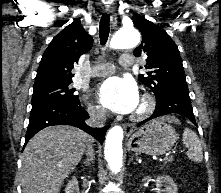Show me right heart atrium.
I'll list each match as a JSON object with an SVG mask.
<instances>
[{"label": "right heart atrium", "mask_w": 221, "mask_h": 193, "mask_svg": "<svg viewBox=\"0 0 221 193\" xmlns=\"http://www.w3.org/2000/svg\"><path fill=\"white\" fill-rule=\"evenodd\" d=\"M85 106H86V109H87L89 115L92 118L97 119V120L104 118L105 111L101 106L92 104L90 102H86Z\"/></svg>", "instance_id": "right-heart-atrium-1"}]
</instances>
